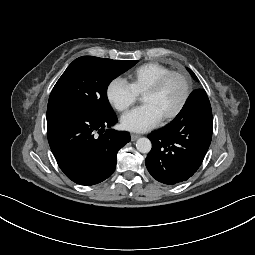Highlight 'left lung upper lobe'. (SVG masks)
<instances>
[{
	"instance_id": "1",
	"label": "left lung upper lobe",
	"mask_w": 255,
	"mask_h": 255,
	"mask_svg": "<svg viewBox=\"0 0 255 255\" xmlns=\"http://www.w3.org/2000/svg\"><path fill=\"white\" fill-rule=\"evenodd\" d=\"M189 71H190V73H191L193 76H195L194 73H193L191 70H189Z\"/></svg>"
}]
</instances>
